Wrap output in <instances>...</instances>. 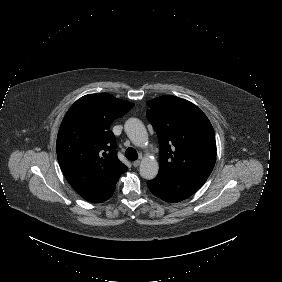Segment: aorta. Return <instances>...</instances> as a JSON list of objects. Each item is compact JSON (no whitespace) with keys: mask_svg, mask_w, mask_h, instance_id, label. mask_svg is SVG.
<instances>
[{"mask_svg":"<svg viewBox=\"0 0 282 282\" xmlns=\"http://www.w3.org/2000/svg\"><path fill=\"white\" fill-rule=\"evenodd\" d=\"M124 130L134 145L143 147L148 142V133L141 120L129 118L124 124ZM139 170L142 178L151 180L157 176L159 165L153 156H146L141 160Z\"/></svg>","mask_w":282,"mask_h":282,"instance_id":"aorta-1","label":"aorta"}]
</instances>
